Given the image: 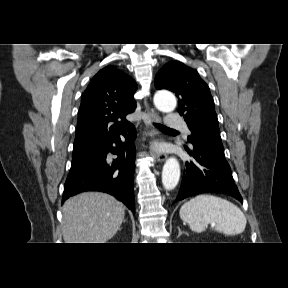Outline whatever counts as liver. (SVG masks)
<instances>
[{"instance_id": "obj_1", "label": "liver", "mask_w": 288, "mask_h": 288, "mask_svg": "<svg viewBox=\"0 0 288 288\" xmlns=\"http://www.w3.org/2000/svg\"><path fill=\"white\" fill-rule=\"evenodd\" d=\"M62 212L65 243H105L120 228L125 207L111 195L84 192L68 199Z\"/></svg>"}]
</instances>
